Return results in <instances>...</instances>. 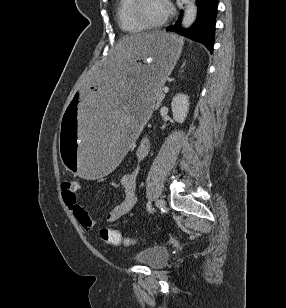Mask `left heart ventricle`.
I'll return each instance as SVG.
<instances>
[{
    "label": "left heart ventricle",
    "mask_w": 286,
    "mask_h": 308,
    "mask_svg": "<svg viewBox=\"0 0 286 308\" xmlns=\"http://www.w3.org/2000/svg\"><path fill=\"white\" fill-rule=\"evenodd\" d=\"M167 12L168 8L165 0H143L140 7L141 17L149 23L163 20Z\"/></svg>",
    "instance_id": "left-heart-ventricle-1"
}]
</instances>
